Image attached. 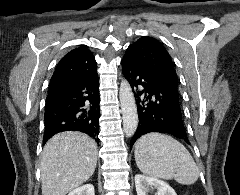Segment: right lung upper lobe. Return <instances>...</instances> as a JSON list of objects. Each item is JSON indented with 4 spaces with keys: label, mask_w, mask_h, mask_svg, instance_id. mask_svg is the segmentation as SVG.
Here are the masks:
<instances>
[{
    "label": "right lung upper lobe",
    "mask_w": 240,
    "mask_h": 195,
    "mask_svg": "<svg viewBox=\"0 0 240 195\" xmlns=\"http://www.w3.org/2000/svg\"><path fill=\"white\" fill-rule=\"evenodd\" d=\"M97 72L92 53L86 46L68 52L58 63L50 84L76 82L86 79Z\"/></svg>",
    "instance_id": "1"
}]
</instances>
